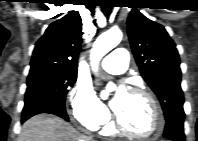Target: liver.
Masks as SVG:
<instances>
[{"mask_svg":"<svg viewBox=\"0 0 198 141\" xmlns=\"http://www.w3.org/2000/svg\"><path fill=\"white\" fill-rule=\"evenodd\" d=\"M63 119L40 114L27 120L18 141H87Z\"/></svg>","mask_w":198,"mask_h":141,"instance_id":"1","label":"liver"}]
</instances>
